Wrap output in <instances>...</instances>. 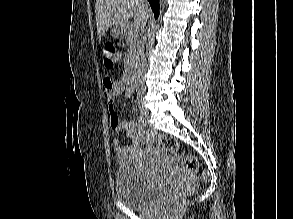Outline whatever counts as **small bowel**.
Instances as JSON below:
<instances>
[{"label":"small bowel","instance_id":"c3829d8e","mask_svg":"<svg viewBox=\"0 0 293 219\" xmlns=\"http://www.w3.org/2000/svg\"><path fill=\"white\" fill-rule=\"evenodd\" d=\"M103 84L108 103L111 128L116 132L126 131L129 138V143L126 145H121L117 137L113 139L115 155L121 164L134 162L140 156L141 146L147 144L150 137L140 123L121 119L115 111V97L119 94H124L126 98H131L132 91L127 88L125 77H121L116 81L105 78Z\"/></svg>","mask_w":293,"mask_h":219}]
</instances>
